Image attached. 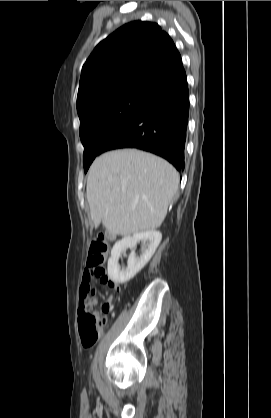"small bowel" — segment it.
Segmentation results:
<instances>
[{
  "instance_id": "obj_1",
  "label": "small bowel",
  "mask_w": 271,
  "mask_h": 418,
  "mask_svg": "<svg viewBox=\"0 0 271 418\" xmlns=\"http://www.w3.org/2000/svg\"><path fill=\"white\" fill-rule=\"evenodd\" d=\"M103 284L112 288V289H114V290H116V291H119V286L116 283L110 281L109 279H108V281L104 282ZM87 288H90V281L88 279L87 271L85 269L84 274H83V282H82V285H81V288H80V298H81L80 310L83 309V308L91 310L92 307L95 306L96 303H97V300L95 298H92L87 302H85L83 300V295H84V292Z\"/></svg>"
}]
</instances>
